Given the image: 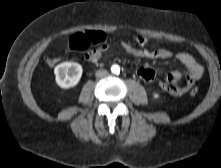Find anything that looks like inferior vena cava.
Segmentation results:
<instances>
[{"mask_svg": "<svg viewBox=\"0 0 221 168\" xmlns=\"http://www.w3.org/2000/svg\"><path fill=\"white\" fill-rule=\"evenodd\" d=\"M108 75V71L104 69L97 70L95 76L99 79L104 78Z\"/></svg>", "mask_w": 221, "mask_h": 168, "instance_id": "obj_1", "label": "inferior vena cava"}]
</instances>
